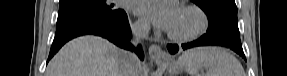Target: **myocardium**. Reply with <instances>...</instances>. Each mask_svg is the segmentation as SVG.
Returning <instances> with one entry per match:
<instances>
[{"label":"myocardium","mask_w":287,"mask_h":76,"mask_svg":"<svg viewBox=\"0 0 287 76\" xmlns=\"http://www.w3.org/2000/svg\"><path fill=\"white\" fill-rule=\"evenodd\" d=\"M180 10L193 12L199 19L197 27L191 32L185 34H175L167 31V36L169 39L175 42H189L200 37L208 28L209 18L206 12L196 4H184L180 7Z\"/></svg>","instance_id":"1"}]
</instances>
